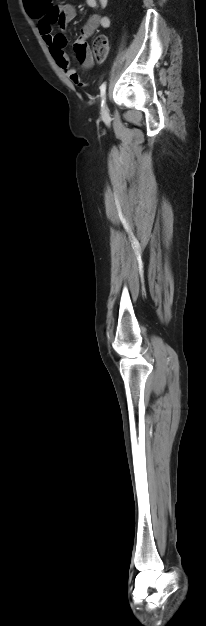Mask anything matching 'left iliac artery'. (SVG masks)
Masks as SVG:
<instances>
[{
	"label": "left iliac artery",
	"instance_id": "44dca946",
	"mask_svg": "<svg viewBox=\"0 0 206 626\" xmlns=\"http://www.w3.org/2000/svg\"><path fill=\"white\" fill-rule=\"evenodd\" d=\"M106 93V83L104 82L101 86H100V94L101 97L103 98L105 96ZM102 104H103V100H102Z\"/></svg>",
	"mask_w": 206,
	"mask_h": 626
}]
</instances>
